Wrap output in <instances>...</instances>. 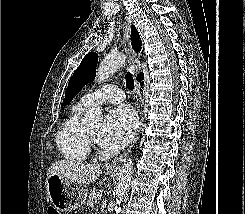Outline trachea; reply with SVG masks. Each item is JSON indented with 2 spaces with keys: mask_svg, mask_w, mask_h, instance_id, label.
Returning a JSON list of instances; mask_svg holds the SVG:
<instances>
[{
  "mask_svg": "<svg viewBox=\"0 0 245 214\" xmlns=\"http://www.w3.org/2000/svg\"><path fill=\"white\" fill-rule=\"evenodd\" d=\"M125 79H126V86L127 88L132 91L133 88H134V80H133V76L130 72H127L126 76H125Z\"/></svg>",
  "mask_w": 245,
  "mask_h": 214,
  "instance_id": "trachea-1",
  "label": "trachea"
}]
</instances>
